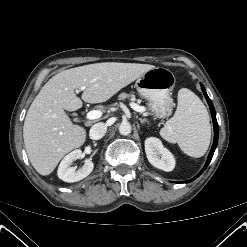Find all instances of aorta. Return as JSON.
<instances>
[{"label":"aorta","mask_w":247,"mask_h":247,"mask_svg":"<svg viewBox=\"0 0 247 247\" xmlns=\"http://www.w3.org/2000/svg\"><path fill=\"white\" fill-rule=\"evenodd\" d=\"M132 131L131 124L127 121H123L119 126V132L122 135H128Z\"/></svg>","instance_id":"762f6f07"}]
</instances>
